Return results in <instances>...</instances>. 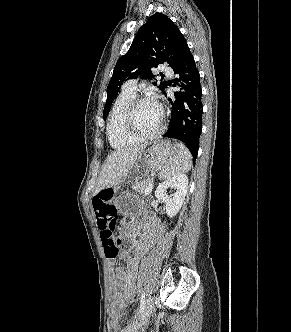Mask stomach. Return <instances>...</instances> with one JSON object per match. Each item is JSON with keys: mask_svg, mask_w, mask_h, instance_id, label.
<instances>
[{"mask_svg": "<svg viewBox=\"0 0 291 332\" xmlns=\"http://www.w3.org/2000/svg\"><path fill=\"white\" fill-rule=\"evenodd\" d=\"M176 154L177 150L171 143L167 141H156L150 147L141 151L135 163V168L137 170L146 168L152 171L163 169ZM115 193H118V195L115 198L114 205L121 213L128 207L129 202L134 199V197L124 190L118 192V190L115 189Z\"/></svg>", "mask_w": 291, "mask_h": 332, "instance_id": "obj_1", "label": "stomach"}]
</instances>
